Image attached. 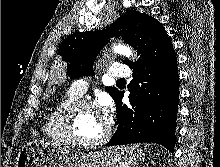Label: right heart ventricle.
<instances>
[{
    "instance_id": "obj_1",
    "label": "right heart ventricle",
    "mask_w": 220,
    "mask_h": 167,
    "mask_svg": "<svg viewBox=\"0 0 220 167\" xmlns=\"http://www.w3.org/2000/svg\"><path fill=\"white\" fill-rule=\"evenodd\" d=\"M78 97L69 91L51 106L42 127L43 135L49 141L59 145L69 144L60 131L59 120L63 110Z\"/></svg>"
}]
</instances>
